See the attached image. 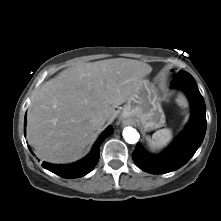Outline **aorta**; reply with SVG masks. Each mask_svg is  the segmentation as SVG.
<instances>
[{"instance_id":"762f6f07","label":"aorta","mask_w":221,"mask_h":221,"mask_svg":"<svg viewBox=\"0 0 221 221\" xmlns=\"http://www.w3.org/2000/svg\"><path fill=\"white\" fill-rule=\"evenodd\" d=\"M123 137L127 143L135 144L138 142L140 135L136 129L128 126L123 130Z\"/></svg>"}]
</instances>
